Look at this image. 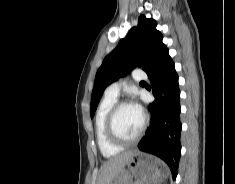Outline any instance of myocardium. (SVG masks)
<instances>
[{"mask_svg": "<svg viewBox=\"0 0 235 184\" xmlns=\"http://www.w3.org/2000/svg\"><path fill=\"white\" fill-rule=\"evenodd\" d=\"M126 106H131V104L126 101L117 102L110 109V111L107 115V119H106L107 135L113 143H115L116 145H119V146L132 145V144H136L137 142H139L142 139V137L146 131V128L148 126V123H149L148 116L146 114H142L143 115V124H142V127H141L139 133L134 138H131V139H127V138H124L123 136H121L117 130V127H116V117H117V114L119 113V111L123 107H126Z\"/></svg>", "mask_w": 235, "mask_h": 184, "instance_id": "1", "label": "myocardium"}]
</instances>
